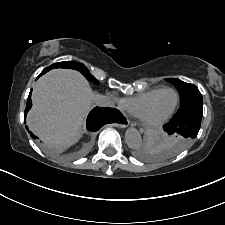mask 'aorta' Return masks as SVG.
Instances as JSON below:
<instances>
[{
    "instance_id": "762f6f07",
    "label": "aorta",
    "mask_w": 225,
    "mask_h": 225,
    "mask_svg": "<svg viewBox=\"0 0 225 225\" xmlns=\"http://www.w3.org/2000/svg\"><path fill=\"white\" fill-rule=\"evenodd\" d=\"M125 142L131 149L140 147L142 143L140 133L134 128L128 129L125 133Z\"/></svg>"
}]
</instances>
